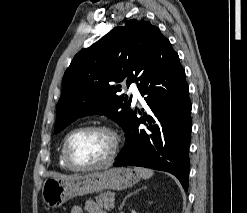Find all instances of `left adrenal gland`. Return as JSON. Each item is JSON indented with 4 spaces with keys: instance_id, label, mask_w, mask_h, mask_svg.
Instances as JSON below:
<instances>
[{
    "instance_id": "a2214340",
    "label": "left adrenal gland",
    "mask_w": 247,
    "mask_h": 213,
    "mask_svg": "<svg viewBox=\"0 0 247 213\" xmlns=\"http://www.w3.org/2000/svg\"><path fill=\"white\" fill-rule=\"evenodd\" d=\"M145 188H146V186H142V187H140V188L134 190L133 192L127 194V195L125 196V198L123 199V201H122V203H121V205H120V207H119V210H122V208H123L124 205H125L126 200H127L130 196H132L133 194L137 193V192L140 191L141 189H145Z\"/></svg>"
}]
</instances>
